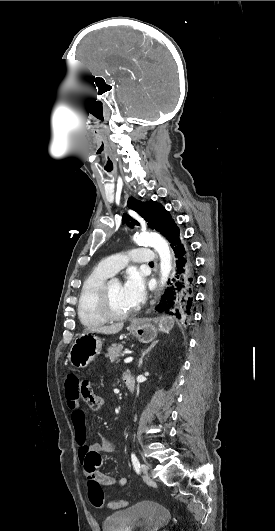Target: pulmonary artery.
Masks as SVG:
<instances>
[{"mask_svg": "<svg viewBox=\"0 0 275 531\" xmlns=\"http://www.w3.org/2000/svg\"><path fill=\"white\" fill-rule=\"evenodd\" d=\"M126 256L131 258L133 264L147 265L152 263L153 259L156 258L157 253L153 249H132L126 253ZM126 256L124 254H110L107 256L106 261H98V272L119 275L121 273V268L126 263Z\"/></svg>", "mask_w": 275, "mask_h": 531, "instance_id": "1", "label": "pulmonary artery"}]
</instances>
